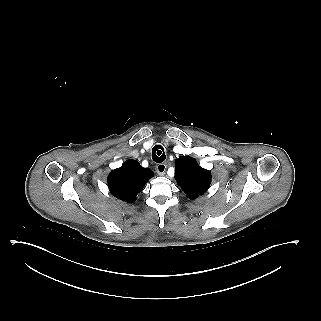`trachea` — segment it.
Returning <instances> with one entry per match:
<instances>
[{"instance_id": "3493384b", "label": "trachea", "mask_w": 321, "mask_h": 321, "mask_svg": "<svg viewBox=\"0 0 321 321\" xmlns=\"http://www.w3.org/2000/svg\"><path fill=\"white\" fill-rule=\"evenodd\" d=\"M165 152L161 145H155L152 149V159L156 163H161L165 160Z\"/></svg>"}]
</instances>
